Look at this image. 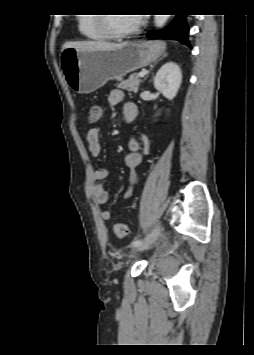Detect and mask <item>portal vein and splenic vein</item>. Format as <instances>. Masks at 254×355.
<instances>
[{
	"label": "portal vein and splenic vein",
	"instance_id": "obj_1",
	"mask_svg": "<svg viewBox=\"0 0 254 355\" xmlns=\"http://www.w3.org/2000/svg\"><path fill=\"white\" fill-rule=\"evenodd\" d=\"M145 74H146V72L142 71V72H140L138 75H139V77H144Z\"/></svg>",
	"mask_w": 254,
	"mask_h": 355
}]
</instances>
